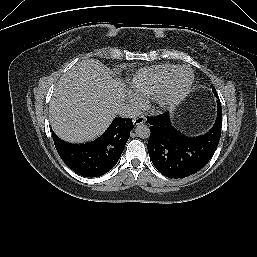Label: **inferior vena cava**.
Masks as SVG:
<instances>
[{
    "label": "inferior vena cava",
    "instance_id": "inferior-vena-cava-1",
    "mask_svg": "<svg viewBox=\"0 0 257 257\" xmlns=\"http://www.w3.org/2000/svg\"><path fill=\"white\" fill-rule=\"evenodd\" d=\"M118 114L124 118L134 119L140 114V111L134 105L123 103L118 110Z\"/></svg>",
    "mask_w": 257,
    "mask_h": 257
}]
</instances>
